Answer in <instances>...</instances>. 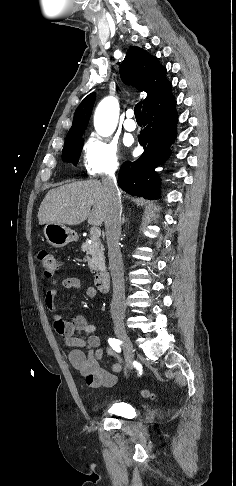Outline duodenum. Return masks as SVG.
Returning a JSON list of instances; mask_svg holds the SVG:
<instances>
[{"label":"duodenum","instance_id":"duodenum-1","mask_svg":"<svg viewBox=\"0 0 236 486\" xmlns=\"http://www.w3.org/2000/svg\"><path fill=\"white\" fill-rule=\"evenodd\" d=\"M95 286L100 292H106L109 286V273L101 270L95 275Z\"/></svg>","mask_w":236,"mask_h":486}]
</instances>
